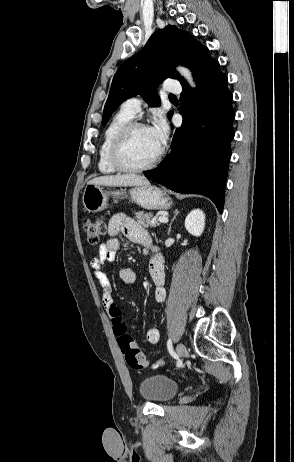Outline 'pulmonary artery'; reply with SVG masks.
Segmentation results:
<instances>
[{
	"mask_svg": "<svg viewBox=\"0 0 294 462\" xmlns=\"http://www.w3.org/2000/svg\"><path fill=\"white\" fill-rule=\"evenodd\" d=\"M164 90L167 93L174 94V93L179 92L180 86H179V84H174V83L167 82L164 85ZM142 102L143 101H142V99L140 97H131V98L127 99L122 104L121 108L124 109L125 111L129 112L132 115H136L141 110Z\"/></svg>",
	"mask_w": 294,
	"mask_h": 462,
	"instance_id": "obj_1",
	"label": "pulmonary artery"
}]
</instances>
